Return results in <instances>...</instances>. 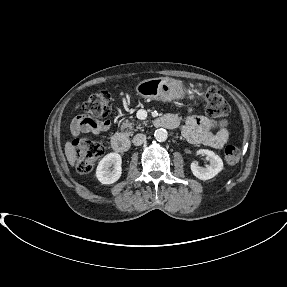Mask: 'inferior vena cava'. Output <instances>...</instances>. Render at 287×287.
I'll list each match as a JSON object with an SVG mask.
<instances>
[{
    "instance_id": "602c4592",
    "label": "inferior vena cava",
    "mask_w": 287,
    "mask_h": 287,
    "mask_svg": "<svg viewBox=\"0 0 287 287\" xmlns=\"http://www.w3.org/2000/svg\"><path fill=\"white\" fill-rule=\"evenodd\" d=\"M146 141V135L145 134H142V133H139V134H136L134 137H133V144L135 146H140L142 145L144 142Z\"/></svg>"
}]
</instances>
